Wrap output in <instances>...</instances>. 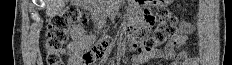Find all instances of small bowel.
<instances>
[{
  "mask_svg": "<svg viewBox=\"0 0 232 65\" xmlns=\"http://www.w3.org/2000/svg\"><path fill=\"white\" fill-rule=\"evenodd\" d=\"M120 17H142V23L136 26L135 23H130L129 27L134 28L135 32H123V35H115L114 32H109V37H114L115 40H126L125 47H137V43L141 38H146L152 28L153 15L152 12H120ZM192 32V27L181 22L176 33L170 38L168 44L163 50H151L140 53L134 58L133 64H143L152 58H162L165 60H173L172 65H197L198 58L188 56L186 52H179V49L185 45L188 35ZM72 43L67 48L68 65H82L80 53L88 48L94 41V37L86 33L83 26L79 25L71 30ZM112 65V64H110Z\"/></svg>",
  "mask_w": 232,
  "mask_h": 65,
  "instance_id": "1",
  "label": "small bowel"
}]
</instances>
